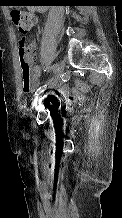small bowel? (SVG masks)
Masks as SVG:
<instances>
[{"label":"small bowel","instance_id":"c3829d8e","mask_svg":"<svg viewBox=\"0 0 122 218\" xmlns=\"http://www.w3.org/2000/svg\"><path fill=\"white\" fill-rule=\"evenodd\" d=\"M29 43L31 45V73H32V82H33L31 90L34 91L40 85L42 71L41 68L35 64L36 53H35L34 43L31 39L29 40ZM60 93L68 101H71L75 98L74 93L67 87H62L60 89Z\"/></svg>","mask_w":122,"mask_h":218}]
</instances>
